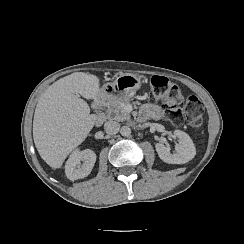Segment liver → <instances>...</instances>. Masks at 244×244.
I'll return each mask as SVG.
<instances>
[{
    "instance_id": "liver-1",
    "label": "liver",
    "mask_w": 244,
    "mask_h": 244,
    "mask_svg": "<svg viewBox=\"0 0 244 244\" xmlns=\"http://www.w3.org/2000/svg\"><path fill=\"white\" fill-rule=\"evenodd\" d=\"M97 76L75 72L53 83L39 98L33 119V139L41 158L60 168L96 122L86 99L99 96Z\"/></svg>"
}]
</instances>
